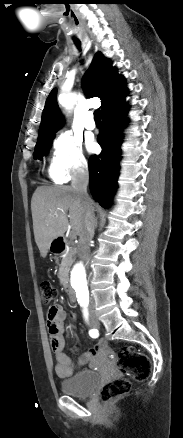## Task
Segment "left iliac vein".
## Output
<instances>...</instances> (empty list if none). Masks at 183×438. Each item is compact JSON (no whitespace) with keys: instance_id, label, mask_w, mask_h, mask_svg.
Here are the masks:
<instances>
[{"instance_id":"4c4485c4","label":"left iliac vein","mask_w":183,"mask_h":438,"mask_svg":"<svg viewBox=\"0 0 183 438\" xmlns=\"http://www.w3.org/2000/svg\"><path fill=\"white\" fill-rule=\"evenodd\" d=\"M96 327H99V323L97 322Z\"/></svg>"}]
</instances>
